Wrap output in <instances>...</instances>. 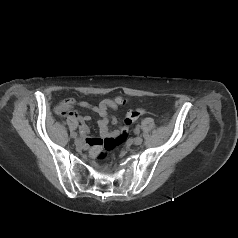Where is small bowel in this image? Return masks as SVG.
I'll return each mask as SVG.
<instances>
[{
  "instance_id": "small-bowel-1",
  "label": "small bowel",
  "mask_w": 238,
  "mask_h": 238,
  "mask_svg": "<svg viewBox=\"0 0 238 238\" xmlns=\"http://www.w3.org/2000/svg\"><path fill=\"white\" fill-rule=\"evenodd\" d=\"M124 100L120 97L116 99H104L99 102L98 105H92L87 101H77L74 98H67L64 99L60 104L56 107V112L58 115L62 117H72L77 119L80 122V132L82 135H87L89 132V128L86 125V122L90 120V116L88 115H81L77 111L73 110L75 106L89 109L95 113H97L100 116V119L98 120V127L101 136L105 138L110 137H116L121 134V129L110 131L109 130V116H108V109H117L119 104H123ZM113 124H116V120L113 118L112 120ZM101 139L98 138H87L86 144L90 147H93L97 141Z\"/></svg>"
}]
</instances>
